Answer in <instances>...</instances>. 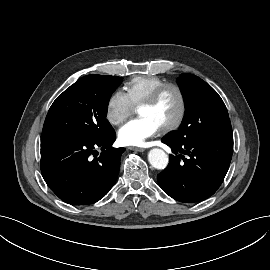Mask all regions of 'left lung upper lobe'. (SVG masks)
<instances>
[{
	"label": "left lung upper lobe",
	"mask_w": 270,
	"mask_h": 270,
	"mask_svg": "<svg viewBox=\"0 0 270 270\" xmlns=\"http://www.w3.org/2000/svg\"><path fill=\"white\" fill-rule=\"evenodd\" d=\"M177 84L183 94L186 111L180 128L168 138L178 143L197 135L233 138L226 106L212 87L193 74H181Z\"/></svg>",
	"instance_id": "left-lung-upper-lobe-1"
}]
</instances>
